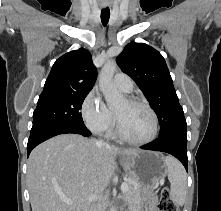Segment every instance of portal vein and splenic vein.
<instances>
[{"label":"portal vein and splenic vein","instance_id":"obj_1","mask_svg":"<svg viewBox=\"0 0 221 211\" xmlns=\"http://www.w3.org/2000/svg\"><path fill=\"white\" fill-rule=\"evenodd\" d=\"M127 190H128V185L126 182H123L121 185V192L124 194L127 192ZM98 199H99V197H97V196H90L89 197L90 201H96ZM62 200L68 204H72L74 201L72 198H63Z\"/></svg>","mask_w":221,"mask_h":211}]
</instances>
